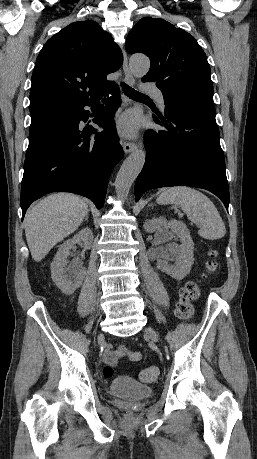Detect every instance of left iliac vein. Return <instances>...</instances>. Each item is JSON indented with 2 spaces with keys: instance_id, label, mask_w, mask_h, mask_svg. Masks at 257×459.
Listing matches in <instances>:
<instances>
[{
  "instance_id": "left-iliac-vein-1",
  "label": "left iliac vein",
  "mask_w": 257,
  "mask_h": 459,
  "mask_svg": "<svg viewBox=\"0 0 257 459\" xmlns=\"http://www.w3.org/2000/svg\"><path fill=\"white\" fill-rule=\"evenodd\" d=\"M145 333L153 340V341H158V334L157 332L152 328L148 327L145 329Z\"/></svg>"
}]
</instances>
